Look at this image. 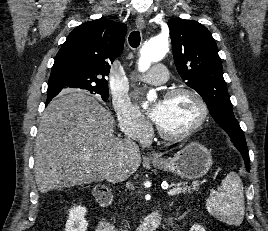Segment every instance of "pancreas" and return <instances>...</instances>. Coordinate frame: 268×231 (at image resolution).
I'll return each instance as SVG.
<instances>
[{
    "instance_id": "obj_1",
    "label": "pancreas",
    "mask_w": 268,
    "mask_h": 231,
    "mask_svg": "<svg viewBox=\"0 0 268 231\" xmlns=\"http://www.w3.org/2000/svg\"><path fill=\"white\" fill-rule=\"evenodd\" d=\"M172 186L183 188L182 190L183 193H186V192L191 193L192 191L198 190L199 184L196 182V183H193L191 186H188L187 183L180 182L177 184H172Z\"/></svg>"
}]
</instances>
